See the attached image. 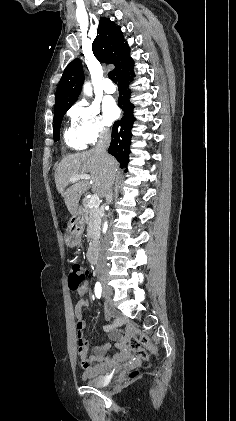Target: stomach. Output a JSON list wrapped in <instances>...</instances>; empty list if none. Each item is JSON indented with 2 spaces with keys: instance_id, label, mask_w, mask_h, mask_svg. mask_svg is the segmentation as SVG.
<instances>
[{
  "instance_id": "1",
  "label": "stomach",
  "mask_w": 236,
  "mask_h": 421,
  "mask_svg": "<svg viewBox=\"0 0 236 421\" xmlns=\"http://www.w3.org/2000/svg\"><path fill=\"white\" fill-rule=\"evenodd\" d=\"M76 219L80 225H83V215L81 211H78ZM66 245H68V247H75V245H77L76 237H73V235H67Z\"/></svg>"
}]
</instances>
